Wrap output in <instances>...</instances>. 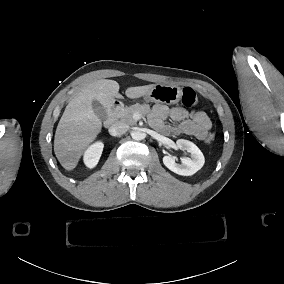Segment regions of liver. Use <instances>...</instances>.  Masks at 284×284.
Segmentation results:
<instances>
[{
	"instance_id": "6515ba94",
	"label": "liver",
	"mask_w": 284,
	"mask_h": 284,
	"mask_svg": "<svg viewBox=\"0 0 284 284\" xmlns=\"http://www.w3.org/2000/svg\"><path fill=\"white\" fill-rule=\"evenodd\" d=\"M156 84L128 87L125 95L136 100L149 95ZM119 83L101 79L83 86L67 104L54 136V154L66 171H73L86 149L98 138L103 124L96 115L93 102L108 110L123 100Z\"/></svg>"
}]
</instances>
